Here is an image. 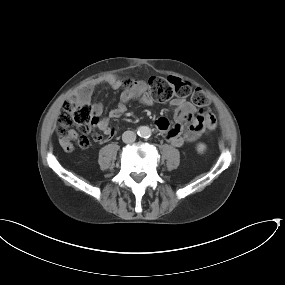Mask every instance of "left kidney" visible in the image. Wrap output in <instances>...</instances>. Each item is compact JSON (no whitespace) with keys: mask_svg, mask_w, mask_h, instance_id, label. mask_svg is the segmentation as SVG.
Returning a JSON list of instances; mask_svg holds the SVG:
<instances>
[{"mask_svg":"<svg viewBox=\"0 0 285 285\" xmlns=\"http://www.w3.org/2000/svg\"><path fill=\"white\" fill-rule=\"evenodd\" d=\"M205 149H206V145H205L204 143H199V144L197 145V151H198L199 153L204 152Z\"/></svg>","mask_w":285,"mask_h":285,"instance_id":"5707ae66","label":"left kidney"}]
</instances>
